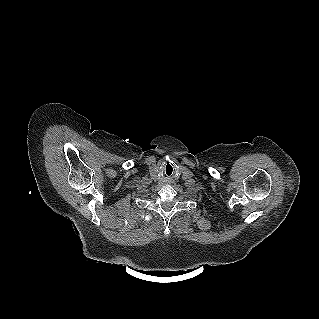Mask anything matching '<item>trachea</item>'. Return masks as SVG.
Returning a JSON list of instances; mask_svg holds the SVG:
<instances>
[{
    "label": "trachea",
    "instance_id": "1",
    "mask_svg": "<svg viewBox=\"0 0 319 319\" xmlns=\"http://www.w3.org/2000/svg\"><path fill=\"white\" fill-rule=\"evenodd\" d=\"M173 174V167L168 163L165 168V175L171 176Z\"/></svg>",
    "mask_w": 319,
    "mask_h": 319
}]
</instances>
